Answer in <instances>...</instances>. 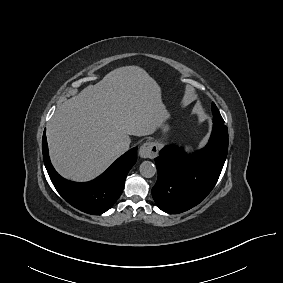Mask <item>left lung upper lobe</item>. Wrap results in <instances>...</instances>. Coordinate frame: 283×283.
<instances>
[{"label": "left lung upper lobe", "instance_id": "left-lung-upper-lobe-1", "mask_svg": "<svg viewBox=\"0 0 283 283\" xmlns=\"http://www.w3.org/2000/svg\"><path fill=\"white\" fill-rule=\"evenodd\" d=\"M212 113H213L214 117H216L219 120L224 122L223 118L220 115V112L218 111V109H217V107H216V105L214 103H212Z\"/></svg>", "mask_w": 283, "mask_h": 283}]
</instances>
